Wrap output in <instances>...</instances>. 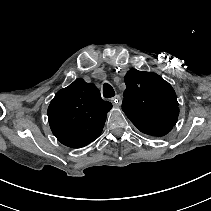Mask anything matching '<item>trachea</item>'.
Listing matches in <instances>:
<instances>
[{"instance_id": "1", "label": "trachea", "mask_w": 211, "mask_h": 211, "mask_svg": "<svg viewBox=\"0 0 211 211\" xmlns=\"http://www.w3.org/2000/svg\"><path fill=\"white\" fill-rule=\"evenodd\" d=\"M103 96L105 98H111V97L115 96V91L109 83L103 84Z\"/></svg>"}]
</instances>
